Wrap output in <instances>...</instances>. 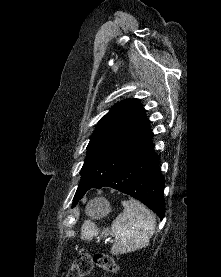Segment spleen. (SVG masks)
<instances>
[{"label": "spleen", "mask_w": 221, "mask_h": 277, "mask_svg": "<svg viewBox=\"0 0 221 277\" xmlns=\"http://www.w3.org/2000/svg\"><path fill=\"white\" fill-rule=\"evenodd\" d=\"M121 204L124 207L123 213L117 216L110 229L107 228L101 233V236L112 235L115 237L111 249L114 255L146 247L155 232L156 225L154 215L143 204L133 199L122 201ZM87 212H91L89 207ZM99 232L96 224L87 220L82 226L81 238L89 241L98 236Z\"/></svg>", "instance_id": "3e777b00"}]
</instances>
